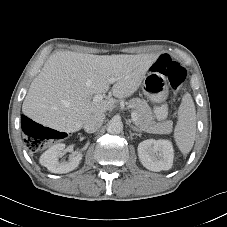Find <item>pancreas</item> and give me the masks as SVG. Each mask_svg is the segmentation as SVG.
Instances as JSON below:
<instances>
[{"mask_svg": "<svg viewBox=\"0 0 227 227\" xmlns=\"http://www.w3.org/2000/svg\"><path fill=\"white\" fill-rule=\"evenodd\" d=\"M128 105L137 113V126L147 133L170 134L172 132V121L156 123L153 119L152 111L145 100L133 98Z\"/></svg>", "mask_w": 227, "mask_h": 227, "instance_id": "obj_1", "label": "pancreas"}]
</instances>
